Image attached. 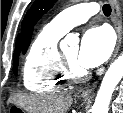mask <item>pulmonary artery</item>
<instances>
[{"mask_svg": "<svg viewBox=\"0 0 123 113\" xmlns=\"http://www.w3.org/2000/svg\"><path fill=\"white\" fill-rule=\"evenodd\" d=\"M98 9L95 2L77 4L59 13L48 25L65 33L72 27L86 22Z\"/></svg>", "mask_w": 123, "mask_h": 113, "instance_id": "pulmonary-artery-1", "label": "pulmonary artery"}]
</instances>
